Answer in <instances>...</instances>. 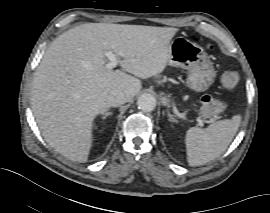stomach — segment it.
<instances>
[{
    "mask_svg": "<svg viewBox=\"0 0 270 213\" xmlns=\"http://www.w3.org/2000/svg\"><path fill=\"white\" fill-rule=\"evenodd\" d=\"M168 64L188 70L187 86L196 92L206 91L215 80L216 72L207 55L185 37H177L170 43ZM165 106L171 107L172 99L167 93H161Z\"/></svg>",
    "mask_w": 270,
    "mask_h": 213,
    "instance_id": "stomach-1",
    "label": "stomach"
}]
</instances>
